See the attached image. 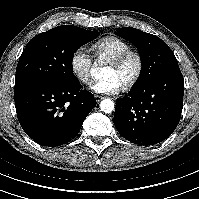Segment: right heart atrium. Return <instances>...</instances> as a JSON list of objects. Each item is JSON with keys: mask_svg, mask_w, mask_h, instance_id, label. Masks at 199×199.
<instances>
[{"mask_svg": "<svg viewBox=\"0 0 199 199\" xmlns=\"http://www.w3.org/2000/svg\"><path fill=\"white\" fill-rule=\"evenodd\" d=\"M70 69L81 83H88L93 71V60L85 48H77L70 58Z\"/></svg>", "mask_w": 199, "mask_h": 199, "instance_id": "d8ad5b80", "label": "right heart atrium"}]
</instances>
